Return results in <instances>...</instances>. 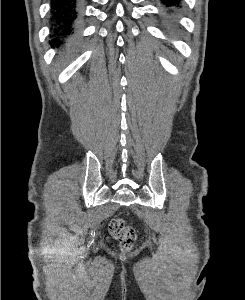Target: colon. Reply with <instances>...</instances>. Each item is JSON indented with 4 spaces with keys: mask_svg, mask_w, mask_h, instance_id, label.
<instances>
[{
    "mask_svg": "<svg viewBox=\"0 0 245 300\" xmlns=\"http://www.w3.org/2000/svg\"><path fill=\"white\" fill-rule=\"evenodd\" d=\"M109 232L124 250L132 248L136 241L135 230L122 218H114L110 221Z\"/></svg>",
    "mask_w": 245,
    "mask_h": 300,
    "instance_id": "5ec220e1",
    "label": "colon"
}]
</instances>
